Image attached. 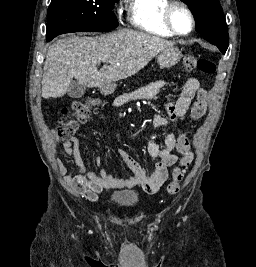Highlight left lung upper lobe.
Returning <instances> with one entry per match:
<instances>
[{"label": "left lung upper lobe", "mask_w": 256, "mask_h": 267, "mask_svg": "<svg viewBox=\"0 0 256 267\" xmlns=\"http://www.w3.org/2000/svg\"><path fill=\"white\" fill-rule=\"evenodd\" d=\"M192 10L197 31L203 38L216 45L225 54L228 32L219 0H182Z\"/></svg>", "instance_id": "5c2ea615"}]
</instances>
